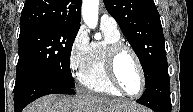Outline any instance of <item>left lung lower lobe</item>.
<instances>
[{
    "instance_id": "obj_1",
    "label": "left lung lower lobe",
    "mask_w": 193,
    "mask_h": 112,
    "mask_svg": "<svg viewBox=\"0 0 193 112\" xmlns=\"http://www.w3.org/2000/svg\"><path fill=\"white\" fill-rule=\"evenodd\" d=\"M137 102L151 108L154 112H171L167 61L157 69Z\"/></svg>"
}]
</instances>
